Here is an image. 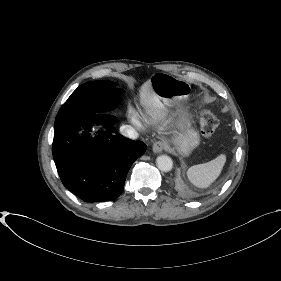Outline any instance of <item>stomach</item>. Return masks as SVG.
Masks as SVG:
<instances>
[{
    "instance_id": "stomach-1",
    "label": "stomach",
    "mask_w": 281,
    "mask_h": 281,
    "mask_svg": "<svg viewBox=\"0 0 281 281\" xmlns=\"http://www.w3.org/2000/svg\"><path fill=\"white\" fill-rule=\"evenodd\" d=\"M150 84L158 98L167 105L186 99L190 92V86L185 80L166 73L153 74ZM199 141L198 133L187 123L171 143L181 154L188 155L199 145Z\"/></svg>"
}]
</instances>
